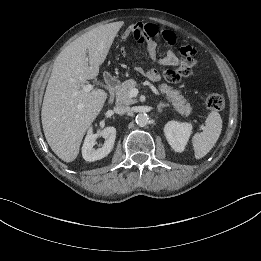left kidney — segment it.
I'll use <instances>...</instances> for the list:
<instances>
[{
  "instance_id": "5707ae66",
  "label": "left kidney",
  "mask_w": 261,
  "mask_h": 261,
  "mask_svg": "<svg viewBox=\"0 0 261 261\" xmlns=\"http://www.w3.org/2000/svg\"><path fill=\"white\" fill-rule=\"evenodd\" d=\"M164 133L170 146L176 152H183L192 133V125L169 121L164 127Z\"/></svg>"
}]
</instances>
